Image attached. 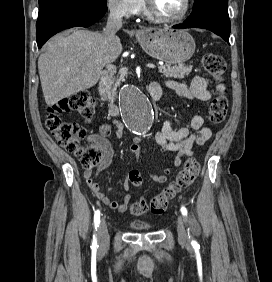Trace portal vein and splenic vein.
<instances>
[{"instance_id": "1", "label": "portal vein and splenic vein", "mask_w": 272, "mask_h": 282, "mask_svg": "<svg viewBox=\"0 0 272 282\" xmlns=\"http://www.w3.org/2000/svg\"><path fill=\"white\" fill-rule=\"evenodd\" d=\"M146 66H147L148 68H152V69L156 68V65H154V64H150V63H149V64H147Z\"/></svg>"}]
</instances>
